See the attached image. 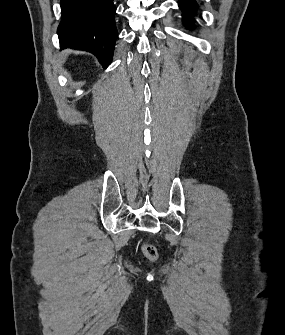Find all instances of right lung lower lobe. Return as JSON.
I'll return each instance as SVG.
<instances>
[{
	"instance_id": "obj_1",
	"label": "right lung lower lobe",
	"mask_w": 285,
	"mask_h": 335,
	"mask_svg": "<svg viewBox=\"0 0 285 335\" xmlns=\"http://www.w3.org/2000/svg\"><path fill=\"white\" fill-rule=\"evenodd\" d=\"M58 37L61 49L93 53L106 68L112 61L117 29L113 0H60Z\"/></svg>"
}]
</instances>
